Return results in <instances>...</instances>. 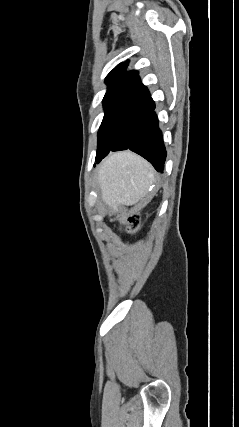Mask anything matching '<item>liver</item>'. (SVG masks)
Segmentation results:
<instances>
[{"label":"liver","mask_w":239,"mask_h":427,"mask_svg":"<svg viewBox=\"0 0 239 427\" xmlns=\"http://www.w3.org/2000/svg\"><path fill=\"white\" fill-rule=\"evenodd\" d=\"M98 182L103 202L118 211L121 205L132 206L145 199L148 202L154 173L150 164L130 151L110 155L100 166Z\"/></svg>","instance_id":"obj_1"}]
</instances>
